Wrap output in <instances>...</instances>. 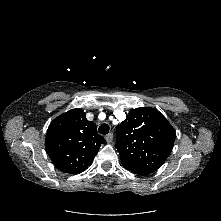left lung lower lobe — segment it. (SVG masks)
<instances>
[{"label": "left lung lower lobe", "instance_id": "left-lung-lower-lobe-1", "mask_svg": "<svg viewBox=\"0 0 221 221\" xmlns=\"http://www.w3.org/2000/svg\"><path fill=\"white\" fill-rule=\"evenodd\" d=\"M153 172H154V170H145V171L132 172V173H135V174H138V175H148V174H151Z\"/></svg>", "mask_w": 221, "mask_h": 221}]
</instances>
